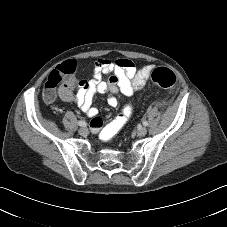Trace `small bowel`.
I'll return each instance as SVG.
<instances>
[{
  "instance_id": "obj_1",
  "label": "small bowel",
  "mask_w": 227,
  "mask_h": 227,
  "mask_svg": "<svg viewBox=\"0 0 227 227\" xmlns=\"http://www.w3.org/2000/svg\"><path fill=\"white\" fill-rule=\"evenodd\" d=\"M62 66L60 65L59 68ZM152 70V65H145L137 69L134 63L128 59L100 58L93 65L91 79L61 87L59 94L63 100L76 103L87 116L95 117L97 110L92 104L97 94L107 93L108 104L115 107L118 104L117 95L122 94L129 97L143 89ZM104 75H110V77L103 80ZM112 123L104 124L98 120L97 126H91L92 132L101 135Z\"/></svg>"
}]
</instances>
